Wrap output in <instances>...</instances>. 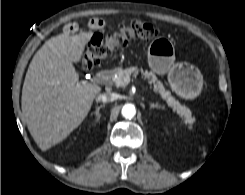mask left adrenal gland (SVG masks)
I'll return each mask as SVG.
<instances>
[{
  "label": "left adrenal gland",
  "instance_id": "obj_1",
  "mask_svg": "<svg viewBox=\"0 0 245 195\" xmlns=\"http://www.w3.org/2000/svg\"><path fill=\"white\" fill-rule=\"evenodd\" d=\"M153 108H157V109H160L162 108V106H160L158 103H150V109H153Z\"/></svg>",
  "mask_w": 245,
  "mask_h": 195
}]
</instances>
